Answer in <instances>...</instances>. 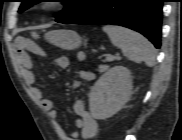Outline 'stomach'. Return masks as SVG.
<instances>
[{"label":"stomach","mask_w":182,"mask_h":140,"mask_svg":"<svg viewBox=\"0 0 182 140\" xmlns=\"http://www.w3.org/2000/svg\"><path fill=\"white\" fill-rule=\"evenodd\" d=\"M49 43L64 49L74 50L81 45V37L72 30H53L46 34Z\"/></svg>","instance_id":"1"}]
</instances>
